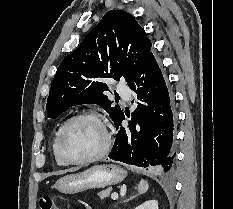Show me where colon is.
<instances>
[{
  "label": "colon",
  "instance_id": "1",
  "mask_svg": "<svg viewBox=\"0 0 233 209\" xmlns=\"http://www.w3.org/2000/svg\"><path fill=\"white\" fill-rule=\"evenodd\" d=\"M39 209H57L51 196L43 195L39 198Z\"/></svg>",
  "mask_w": 233,
  "mask_h": 209
}]
</instances>
